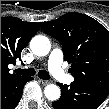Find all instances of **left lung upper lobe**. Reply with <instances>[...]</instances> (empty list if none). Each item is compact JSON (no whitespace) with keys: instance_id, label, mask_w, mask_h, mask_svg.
Masks as SVG:
<instances>
[{"instance_id":"left-lung-upper-lobe-1","label":"left lung upper lobe","mask_w":109,"mask_h":109,"mask_svg":"<svg viewBox=\"0 0 109 109\" xmlns=\"http://www.w3.org/2000/svg\"><path fill=\"white\" fill-rule=\"evenodd\" d=\"M40 26L61 43L76 82L109 92V31L104 26L87 15L72 12L40 22Z\"/></svg>"}]
</instances>
